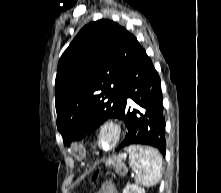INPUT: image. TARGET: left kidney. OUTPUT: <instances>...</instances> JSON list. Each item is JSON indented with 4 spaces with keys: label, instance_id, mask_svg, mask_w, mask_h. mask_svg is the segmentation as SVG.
<instances>
[{
    "label": "left kidney",
    "instance_id": "5707ae66",
    "mask_svg": "<svg viewBox=\"0 0 221 193\" xmlns=\"http://www.w3.org/2000/svg\"><path fill=\"white\" fill-rule=\"evenodd\" d=\"M123 193H145V190L135 184H130L124 188Z\"/></svg>",
    "mask_w": 221,
    "mask_h": 193
}]
</instances>
